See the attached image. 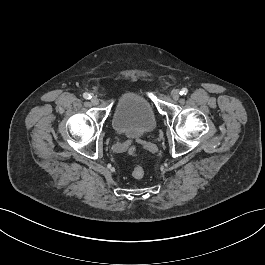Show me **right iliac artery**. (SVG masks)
<instances>
[{
  "label": "right iliac artery",
  "instance_id": "82829eb1",
  "mask_svg": "<svg viewBox=\"0 0 265 265\" xmlns=\"http://www.w3.org/2000/svg\"><path fill=\"white\" fill-rule=\"evenodd\" d=\"M83 97L85 98V99H91V95L89 94V93H84L83 94Z\"/></svg>",
  "mask_w": 265,
  "mask_h": 265
}]
</instances>
